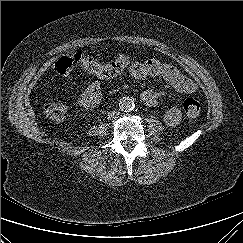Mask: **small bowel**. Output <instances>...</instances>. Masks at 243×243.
I'll return each instance as SVG.
<instances>
[{
    "label": "small bowel",
    "mask_w": 243,
    "mask_h": 243,
    "mask_svg": "<svg viewBox=\"0 0 243 243\" xmlns=\"http://www.w3.org/2000/svg\"><path fill=\"white\" fill-rule=\"evenodd\" d=\"M130 75L135 79L146 77L162 78L170 88L177 93L191 94L196 91V84L183 75L173 65L156 59L134 62L129 68ZM101 84L99 81L91 82L79 95V104L91 110L101 102ZM169 94L166 90H144L141 93L142 101L151 107H156L159 101ZM181 121V111L178 107L169 108L164 114V122L168 127H176Z\"/></svg>",
    "instance_id": "1"
}]
</instances>
